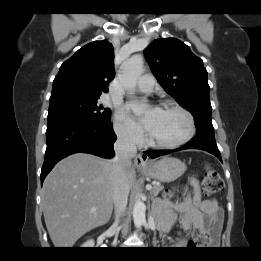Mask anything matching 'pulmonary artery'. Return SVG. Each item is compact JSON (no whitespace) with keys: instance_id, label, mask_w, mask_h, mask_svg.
Here are the masks:
<instances>
[{"instance_id":"obj_1","label":"pulmonary artery","mask_w":261,"mask_h":261,"mask_svg":"<svg viewBox=\"0 0 261 261\" xmlns=\"http://www.w3.org/2000/svg\"><path fill=\"white\" fill-rule=\"evenodd\" d=\"M155 87V79L150 74L142 75L137 81V89L142 93H151Z\"/></svg>"}]
</instances>
